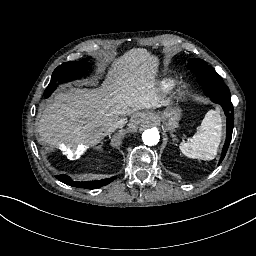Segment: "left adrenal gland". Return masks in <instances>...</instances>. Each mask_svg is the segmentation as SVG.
Masks as SVG:
<instances>
[{
    "mask_svg": "<svg viewBox=\"0 0 256 256\" xmlns=\"http://www.w3.org/2000/svg\"><path fill=\"white\" fill-rule=\"evenodd\" d=\"M171 137L173 141H177L178 139L176 138V136L174 134L171 133Z\"/></svg>",
    "mask_w": 256,
    "mask_h": 256,
    "instance_id": "1",
    "label": "left adrenal gland"
}]
</instances>
